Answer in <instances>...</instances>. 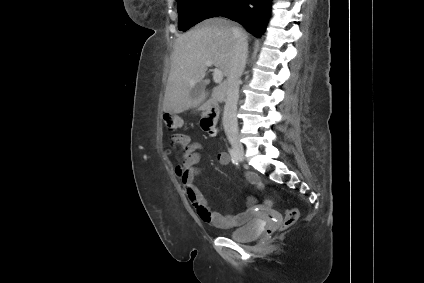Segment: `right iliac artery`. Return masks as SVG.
Returning a JSON list of instances; mask_svg holds the SVG:
<instances>
[{"instance_id": "82829eb1", "label": "right iliac artery", "mask_w": 424, "mask_h": 283, "mask_svg": "<svg viewBox=\"0 0 424 283\" xmlns=\"http://www.w3.org/2000/svg\"><path fill=\"white\" fill-rule=\"evenodd\" d=\"M229 153H230V156H231V161H232V163H233V164H237V162H238V157H237V155H236L235 151H234L233 149H229Z\"/></svg>"}]
</instances>
